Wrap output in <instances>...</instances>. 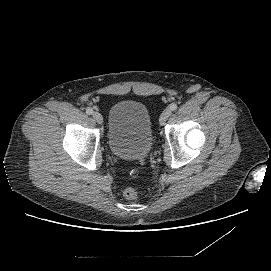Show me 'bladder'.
Segmentation results:
<instances>
[{
	"label": "bladder",
	"instance_id": "bladder-1",
	"mask_svg": "<svg viewBox=\"0 0 271 271\" xmlns=\"http://www.w3.org/2000/svg\"><path fill=\"white\" fill-rule=\"evenodd\" d=\"M154 136L148 107L135 100L114 103L109 112L108 145L111 153L123 160L146 157Z\"/></svg>",
	"mask_w": 271,
	"mask_h": 271
}]
</instances>
